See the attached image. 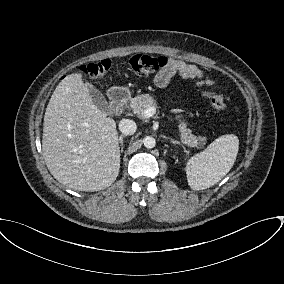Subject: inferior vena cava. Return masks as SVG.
I'll return each mask as SVG.
<instances>
[{
  "instance_id": "602c4592",
  "label": "inferior vena cava",
  "mask_w": 284,
  "mask_h": 284,
  "mask_svg": "<svg viewBox=\"0 0 284 284\" xmlns=\"http://www.w3.org/2000/svg\"><path fill=\"white\" fill-rule=\"evenodd\" d=\"M136 129H137V125L133 120L122 119L119 122V130L124 135H132L136 132Z\"/></svg>"
}]
</instances>
